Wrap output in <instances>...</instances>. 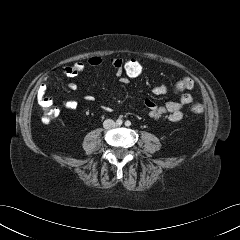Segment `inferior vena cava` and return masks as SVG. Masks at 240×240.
<instances>
[{
	"mask_svg": "<svg viewBox=\"0 0 240 240\" xmlns=\"http://www.w3.org/2000/svg\"><path fill=\"white\" fill-rule=\"evenodd\" d=\"M103 126L105 129H111L114 128L116 124L112 119H107L104 121Z\"/></svg>",
	"mask_w": 240,
	"mask_h": 240,
	"instance_id": "inferior-vena-cava-1",
	"label": "inferior vena cava"
}]
</instances>
